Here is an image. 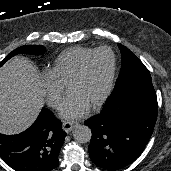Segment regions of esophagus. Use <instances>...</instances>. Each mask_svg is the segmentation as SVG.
I'll return each instance as SVG.
<instances>
[{
  "label": "esophagus",
  "mask_w": 171,
  "mask_h": 171,
  "mask_svg": "<svg viewBox=\"0 0 171 171\" xmlns=\"http://www.w3.org/2000/svg\"><path fill=\"white\" fill-rule=\"evenodd\" d=\"M78 123L75 121H67V122H63L62 124V129L63 131H65L66 133L71 132L74 127L77 125Z\"/></svg>",
  "instance_id": "obj_1"
}]
</instances>
